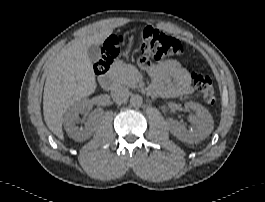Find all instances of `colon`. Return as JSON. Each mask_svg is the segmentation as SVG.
Returning a JSON list of instances; mask_svg holds the SVG:
<instances>
[{"label": "colon", "instance_id": "obj_1", "mask_svg": "<svg viewBox=\"0 0 265 202\" xmlns=\"http://www.w3.org/2000/svg\"><path fill=\"white\" fill-rule=\"evenodd\" d=\"M139 42V62L147 64L151 59L166 60L169 57L181 55L184 52L182 42L174 36L152 28H144L136 33ZM124 34L112 35L104 44L103 53L95 63L98 76L106 74L111 63L119 54V47L124 41ZM191 80L198 96L208 105L216 103V95L211 77L207 73L192 71Z\"/></svg>", "mask_w": 265, "mask_h": 202}]
</instances>
